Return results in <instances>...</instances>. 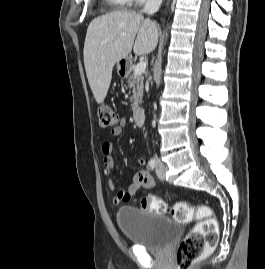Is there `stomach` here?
<instances>
[{"mask_svg":"<svg viewBox=\"0 0 265 269\" xmlns=\"http://www.w3.org/2000/svg\"><path fill=\"white\" fill-rule=\"evenodd\" d=\"M130 64L131 61L128 57L125 59H121L115 63L117 71L121 76H124L126 74L128 68L130 67Z\"/></svg>","mask_w":265,"mask_h":269,"instance_id":"1","label":"stomach"}]
</instances>
